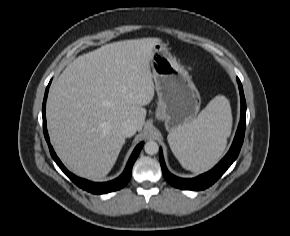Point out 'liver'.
Returning <instances> with one entry per match:
<instances>
[{"label":"liver","instance_id":"obj_1","mask_svg":"<svg viewBox=\"0 0 290 236\" xmlns=\"http://www.w3.org/2000/svg\"><path fill=\"white\" fill-rule=\"evenodd\" d=\"M159 38L106 44L71 62L52 85L46 106L51 143L66 167L94 181L113 168L125 143L121 127L145 123L154 97L150 57Z\"/></svg>","mask_w":290,"mask_h":236}]
</instances>
